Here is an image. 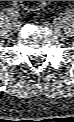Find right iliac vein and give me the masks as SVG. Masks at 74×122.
Instances as JSON below:
<instances>
[{
	"label": "right iliac vein",
	"instance_id": "right-iliac-vein-1",
	"mask_svg": "<svg viewBox=\"0 0 74 122\" xmlns=\"http://www.w3.org/2000/svg\"><path fill=\"white\" fill-rule=\"evenodd\" d=\"M9 10V9H8ZM13 29L15 30V31H18L19 29H20V24H19V22H14L13 23Z\"/></svg>",
	"mask_w": 74,
	"mask_h": 122
}]
</instances>
